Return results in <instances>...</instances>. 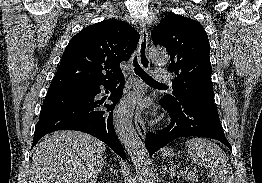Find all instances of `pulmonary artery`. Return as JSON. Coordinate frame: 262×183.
Segmentation results:
<instances>
[{"label":"pulmonary artery","instance_id":"obj_1","mask_svg":"<svg viewBox=\"0 0 262 183\" xmlns=\"http://www.w3.org/2000/svg\"><path fill=\"white\" fill-rule=\"evenodd\" d=\"M156 79H157L158 82H163V83H170L171 82V78L169 76H166V75H161L160 70L156 71Z\"/></svg>","mask_w":262,"mask_h":183}]
</instances>
